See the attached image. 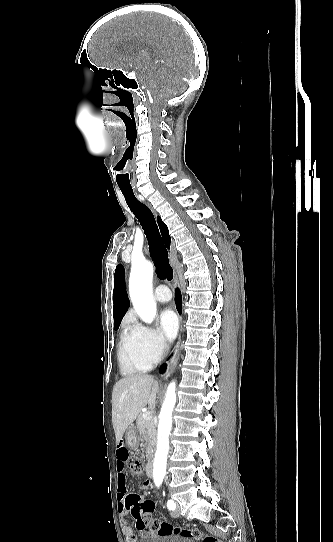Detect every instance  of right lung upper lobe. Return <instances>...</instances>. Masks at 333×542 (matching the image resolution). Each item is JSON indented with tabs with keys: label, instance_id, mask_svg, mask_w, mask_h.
Masks as SVG:
<instances>
[{
	"label": "right lung upper lobe",
	"instance_id": "cb5924a9",
	"mask_svg": "<svg viewBox=\"0 0 333 542\" xmlns=\"http://www.w3.org/2000/svg\"><path fill=\"white\" fill-rule=\"evenodd\" d=\"M157 221L164 243L166 247L169 248L170 236L168 228L160 217H157ZM113 300L114 327H116L120 325V322L129 307V299L125 288V271L122 265H118L115 270Z\"/></svg>",
	"mask_w": 333,
	"mask_h": 542
}]
</instances>
